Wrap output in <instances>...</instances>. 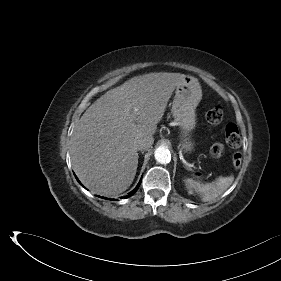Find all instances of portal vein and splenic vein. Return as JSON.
I'll use <instances>...</instances> for the list:
<instances>
[{"label":"portal vein and splenic vein","instance_id":"18ae733b","mask_svg":"<svg viewBox=\"0 0 281 281\" xmlns=\"http://www.w3.org/2000/svg\"><path fill=\"white\" fill-rule=\"evenodd\" d=\"M189 167H193V165L192 164H187Z\"/></svg>","mask_w":281,"mask_h":281}]
</instances>
